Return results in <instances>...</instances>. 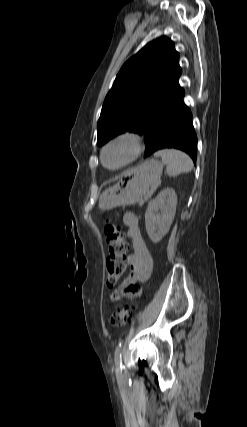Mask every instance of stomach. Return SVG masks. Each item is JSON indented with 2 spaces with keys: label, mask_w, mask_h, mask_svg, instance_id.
Instances as JSON below:
<instances>
[{
  "label": "stomach",
  "mask_w": 247,
  "mask_h": 427,
  "mask_svg": "<svg viewBox=\"0 0 247 427\" xmlns=\"http://www.w3.org/2000/svg\"><path fill=\"white\" fill-rule=\"evenodd\" d=\"M162 170L161 162L156 159H148L123 172L117 184L106 189L100 195L99 208L110 210L142 201L150 187L160 179Z\"/></svg>",
  "instance_id": "1"
}]
</instances>
